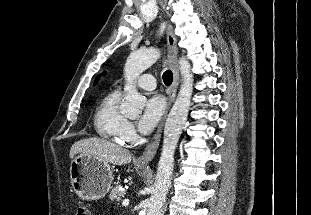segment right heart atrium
<instances>
[{
    "instance_id": "1",
    "label": "right heart atrium",
    "mask_w": 311,
    "mask_h": 215,
    "mask_svg": "<svg viewBox=\"0 0 311 215\" xmlns=\"http://www.w3.org/2000/svg\"><path fill=\"white\" fill-rule=\"evenodd\" d=\"M121 136L122 140L128 143L133 142L136 139V131L134 125L131 122H125L122 128Z\"/></svg>"
}]
</instances>
